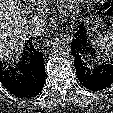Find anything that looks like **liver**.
<instances>
[{"mask_svg":"<svg viewBox=\"0 0 113 113\" xmlns=\"http://www.w3.org/2000/svg\"><path fill=\"white\" fill-rule=\"evenodd\" d=\"M25 11L19 0H0V58H18L27 37Z\"/></svg>","mask_w":113,"mask_h":113,"instance_id":"1","label":"liver"}]
</instances>
